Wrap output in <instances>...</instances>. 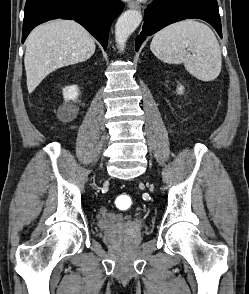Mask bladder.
<instances>
[{"instance_id":"obj_1","label":"bladder","mask_w":249,"mask_h":294,"mask_svg":"<svg viewBox=\"0 0 249 294\" xmlns=\"http://www.w3.org/2000/svg\"><path fill=\"white\" fill-rule=\"evenodd\" d=\"M128 218L123 217V216H119V217H111L106 225L105 228L108 232H112L115 229V225L118 223H125L127 221Z\"/></svg>"}]
</instances>
